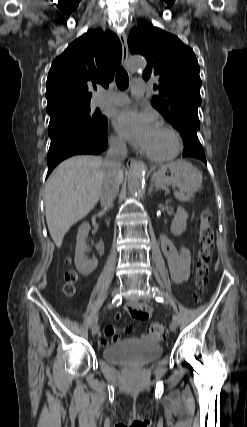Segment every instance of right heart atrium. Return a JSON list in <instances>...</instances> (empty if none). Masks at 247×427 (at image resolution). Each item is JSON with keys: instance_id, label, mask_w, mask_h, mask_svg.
<instances>
[{"instance_id": "1", "label": "right heart atrium", "mask_w": 247, "mask_h": 427, "mask_svg": "<svg viewBox=\"0 0 247 427\" xmlns=\"http://www.w3.org/2000/svg\"><path fill=\"white\" fill-rule=\"evenodd\" d=\"M109 143L114 150L123 151L125 149L124 141L115 135H112L109 139Z\"/></svg>"}]
</instances>
